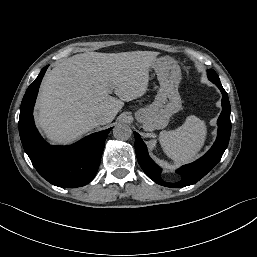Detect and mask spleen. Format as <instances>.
I'll return each mask as SVG.
<instances>
[{"label":"spleen","mask_w":257,"mask_h":257,"mask_svg":"<svg viewBox=\"0 0 257 257\" xmlns=\"http://www.w3.org/2000/svg\"><path fill=\"white\" fill-rule=\"evenodd\" d=\"M207 136L204 121L189 116L185 123L172 131L160 134V144L165 154L178 164L191 162L203 147Z\"/></svg>","instance_id":"3e777b00"}]
</instances>
